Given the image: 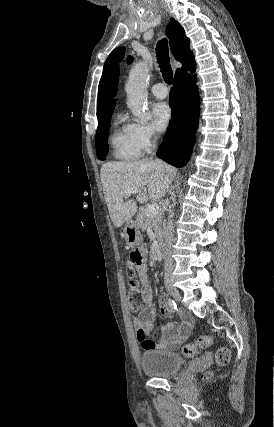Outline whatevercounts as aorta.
I'll return each mask as SVG.
<instances>
[{
    "instance_id": "762f6f07",
    "label": "aorta",
    "mask_w": 274,
    "mask_h": 427,
    "mask_svg": "<svg viewBox=\"0 0 274 427\" xmlns=\"http://www.w3.org/2000/svg\"><path fill=\"white\" fill-rule=\"evenodd\" d=\"M148 77L147 64L145 62H139L135 64L130 71L125 87L128 98V107L132 111V114L142 122L148 120V115L145 112L148 98ZM170 216L172 217V214Z\"/></svg>"
}]
</instances>
